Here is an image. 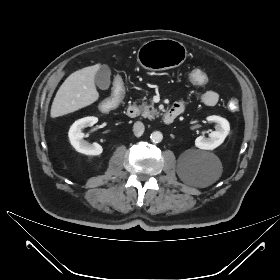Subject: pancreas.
<instances>
[{"mask_svg":"<svg viewBox=\"0 0 280 280\" xmlns=\"http://www.w3.org/2000/svg\"><path fill=\"white\" fill-rule=\"evenodd\" d=\"M140 112L143 117L148 118V119H155V117L159 116V113L157 110L154 108V104L147 103V102H142V104L139 106Z\"/></svg>","mask_w":280,"mask_h":280,"instance_id":"1","label":"pancreas"}]
</instances>
